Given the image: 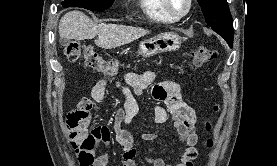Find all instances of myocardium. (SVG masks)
Masks as SVG:
<instances>
[{
  "instance_id": "myocardium-1",
  "label": "myocardium",
  "mask_w": 277,
  "mask_h": 166,
  "mask_svg": "<svg viewBox=\"0 0 277 166\" xmlns=\"http://www.w3.org/2000/svg\"><path fill=\"white\" fill-rule=\"evenodd\" d=\"M161 3H162V6H163V9L171 16L173 17L175 20L176 19H181L185 16H187L191 9H192V6H193V0H187V7L186 9L181 12V13H177L175 12L171 6H170V2L169 0H161Z\"/></svg>"
}]
</instances>
